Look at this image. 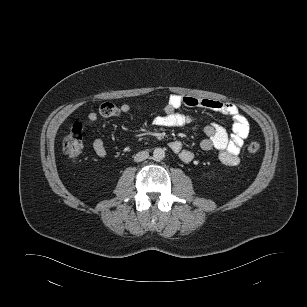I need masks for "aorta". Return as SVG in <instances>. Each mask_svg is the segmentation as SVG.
Listing matches in <instances>:
<instances>
[{
    "label": "aorta",
    "instance_id": "762f6f07",
    "mask_svg": "<svg viewBox=\"0 0 307 307\" xmlns=\"http://www.w3.org/2000/svg\"><path fill=\"white\" fill-rule=\"evenodd\" d=\"M153 157L157 161L163 160L165 158V151L162 148H156L153 151Z\"/></svg>",
    "mask_w": 307,
    "mask_h": 307
}]
</instances>
